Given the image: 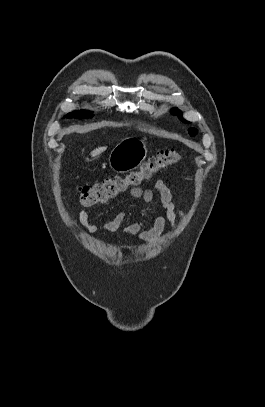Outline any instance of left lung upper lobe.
I'll return each mask as SVG.
<instances>
[{
	"label": "left lung upper lobe",
	"instance_id": "left-lung-upper-lobe-1",
	"mask_svg": "<svg viewBox=\"0 0 265 407\" xmlns=\"http://www.w3.org/2000/svg\"><path fill=\"white\" fill-rule=\"evenodd\" d=\"M171 113L174 114V115H178L179 117H181V111H179L177 108H174V109L171 111ZM188 131H189V133H190L191 136H194V135L197 133V130H196L195 128H190Z\"/></svg>",
	"mask_w": 265,
	"mask_h": 407
}]
</instances>
